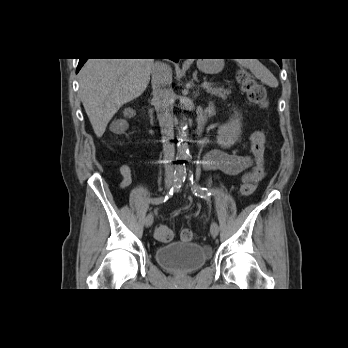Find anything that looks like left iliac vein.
<instances>
[{"instance_id":"obj_1","label":"left iliac vein","mask_w":348,"mask_h":348,"mask_svg":"<svg viewBox=\"0 0 348 348\" xmlns=\"http://www.w3.org/2000/svg\"><path fill=\"white\" fill-rule=\"evenodd\" d=\"M210 233L213 237H216L219 233V226L216 222H212L210 227Z\"/></svg>"}]
</instances>
